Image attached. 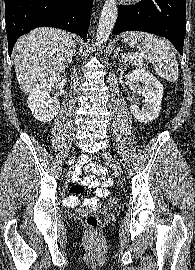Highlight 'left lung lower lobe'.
Here are the masks:
<instances>
[{
  "label": "left lung lower lobe",
  "instance_id": "left-lung-lower-lobe-1",
  "mask_svg": "<svg viewBox=\"0 0 195 270\" xmlns=\"http://www.w3.org/2000/svg\"><path fill=\"white\" fill-rule=\"evenodd\" d=\"M130 30L166 37L183 55L185 0H141L135 5L119 6L112 34Z\"/></svg>",
  "mask_w": 195,
  "mask_h": 270
}]
</instances>
